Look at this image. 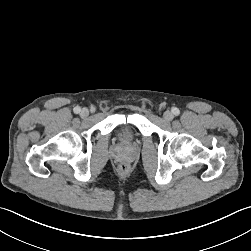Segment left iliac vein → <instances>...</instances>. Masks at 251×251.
I'll return each instance as SVG.
<instances>
[{
    "label": "left iliac vein",
    "instance_id": "1",
    "mask_svg": "<svg viewBox=\"0 0 251 251\" xmlns=\"http://www.w3.org/2000/svg\"><path fill=\"white\" fill-rule=\"evenodd\" d=\"M174 118V115L171 111H166L164 113V119L167 121H171Z\"/></svg>",
    "mask_w": 251,
    "mask_h": 251
}]
</instances>
